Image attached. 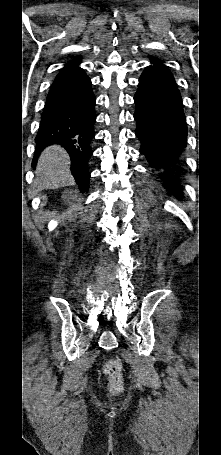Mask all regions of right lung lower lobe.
<instances>
[{
  "mask_svg": "<svg viewBox=\"0 0 221 455\" xmlns=\"http://www.w3.org/2000/svg\"><path fill=\"white\" fill-rule=\"evenodd\" d=\"M78 64L75 61L66 65L49 90L35 138L33 162L45 147L60 144L68 152L72 175L84 192L89 188L88 160L93 153L96 98L90 78Z\"/></svg>",
  "mask_w": 221,
  "mask_h": 455,
  "instance_id": "1",
  "label": "right lung lower lobe"
}]
</instances>
